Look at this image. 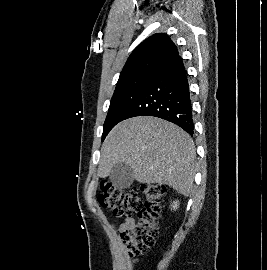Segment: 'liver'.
<instances>
[{
  "label": "liver",
  "instance_id": "liver-1",
  "mask_svg": "<svg viewBox=\"0 0 267 270\" xmlns=\"http://www.w3.org/2000/svg\"><path fill=\"white\" fill-rule=\"evenodd\" d=\"M196 150L180 127L152 116L130 118L117 124L101 148L98 176L110 175L117 163L132 167L140 183L168 185L188 196L193 189Z\"/></svg>",
  "mask_w": 267,
  "mask_h": 270
}]
</instances>
